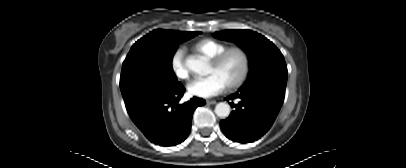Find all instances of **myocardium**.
<instances>
[{"label":"myocardium","instance_id":"obj_1","mask_svg":"<svg viewBox=\"0 0 406 168\" xmlns=\"http://www.w3.org/2000/svg\"><path fill=\"white\" fill-rule=\"evenodd\" d=\"M232 52H237L241 56L242 70H241L239 77L237 78V80L235 82L231 83L230 85L225 86L226 89H228V90H235V89L241 87L244 84V82L246 81L249 71H250V65H251V59H250L249 52L241 46H232V47L225 48L215 57L210 59V64L214 67H218L224 61V59Z\"/></svg>","mask_w":406,"mask_h":168}]
</instances>
